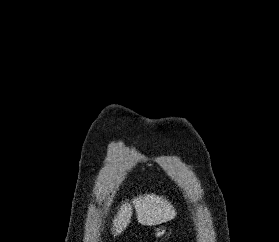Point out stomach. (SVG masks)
<instances>
[{
  "instance_id": "stomach-1",
  "label": "stomach",
  "mask_w": 279,
  "mask_h": 242,
  "mask_svg": "<svg viewBox=\"0 0 279 242\" xmlns=\"http://www.w3.org/2000/svg\"><path fill=\"white\" fill-rule=\"evenodd\" d=\"M165 234H166V227H164V226H161V227L156 228L154 230V236L157 237V238L162 237Z\"/></svg>"
}]
</instances>
